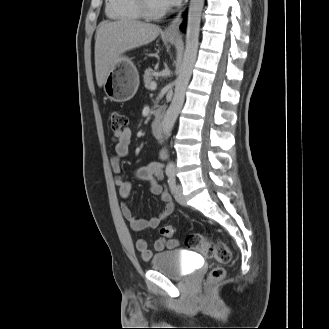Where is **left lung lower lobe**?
<instances>
[{"label": "left lung lower lobe", "mask_w": 329, "mask_h": 329, "mask_svg": "<svg viewBox=\"0 0 329 329\" xmlns=\"http://www.w3.org/2000/svg\"><path fill=\"white\" fill-rule=\"evenodd\" d=\"M184 25L181 26V29L183 30Z\"/></svg>", "instance_id": "0a47b994"}]
</instances>
